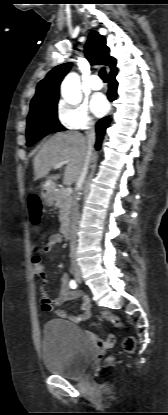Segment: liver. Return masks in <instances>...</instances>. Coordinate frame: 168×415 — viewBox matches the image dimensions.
I'll return each mask as SVG.
<instances>
[{
	"instance_id": "liver-1",
	"label": "liver",
	"mask_w": 168,
	"mask_h": 415,
	"mask_svg": "<svg viewBox=\"0 0 168 415\" xmlns=\"http://www.w3.org/2000/svg\"><path fill=\"white\" fill-rule=\"evenodd\" d=\"M88 156L86 137L78 132L57 133L42 146L34 157V173L36 179L46 178L44 186H49L61 176L49 175L54 164L60 161H68L63 176V183L71 185L76 183ZM95 154L92 153L89 160L92 161Z\"/></svg>"
}]
</instances>
